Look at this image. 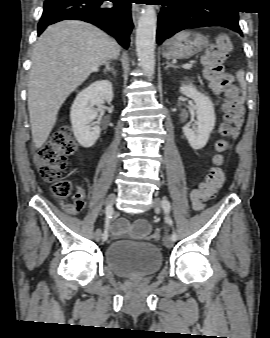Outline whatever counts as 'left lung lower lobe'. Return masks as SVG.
I'll use <instances>...</instances> for the list:
<instances>
[{
	"label": "left lung lower lobe",
	"instance_id": "obj_1",
	"mask_svg": "<svg viewBox=\"0 0 270 338\" xmlns=\"http://www.w3.org/2000/svg\"><path fill=\"white\" fill-rule=\"evenodd\" d=\"M162 6L166 7L161 9L158 18V44L181 30L204 26H221L242 35L238 11L225 9L218 1L167 0Z\"/></svg>",
	"mask_w": 270,
	"mask_h": 338
}]
</instances>
